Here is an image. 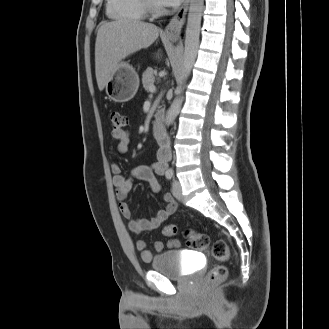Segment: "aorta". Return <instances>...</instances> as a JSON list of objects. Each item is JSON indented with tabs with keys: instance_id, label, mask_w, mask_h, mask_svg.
I'll use <instances>...</instances> for the list:
<instances>
[{
	"instance_id": "obj_1",
	"label": "aorta",
	"mask_w": 329,
	"mask_h": 329,
	"mask_svg": "<svg viewBox=\"0 0 329 329\" xmlns=\"http://www.w3.org/2000/svg\"><path fill=\"white\" fill-rule=\"evenodd\" d=\"M203 7L204 0H190L186 26L184 59L182 64V73L179 80L180 85L177 88V97L174 99L166 113L165 124L167 126L172 124L179 114L182 104L181 94L184 89V84L193 68L197 57Z\"/></svg>"
}]
</instances>
